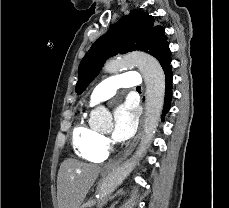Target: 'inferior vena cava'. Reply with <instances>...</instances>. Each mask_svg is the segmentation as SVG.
Returning a JSON list of instances; mask_svg holds the SVG:
<instances>
[{
	"label": "inferior vena cava",
	"instance_id": "1",
	"mask_svg": "<svg viewBox=\"0 0 229 208\" xmlns=\"http://www.w3.org/2000/svg\"><path fill=\"white\" fill-rule=\"evenodd\" d=\"M145 132H146V134H148V132H150V128H149V126H146V124H145Z\"/></svg>",
	"mask_w": 229,
	"mask_h": 208
}]
</instances>
